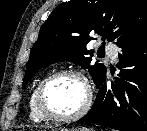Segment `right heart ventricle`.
<instances>
[{
  "mask_svg": "<svg viewBox=\"0 0 147 131\" xmlns=\"http://www.w3.org/2000/svg\"><path fill=\"white\" fill-rule=\"evenodd\" d=\"M44 78H42L41 80L37 82V84L34 86L29 97V117L33 122H36V123H42L47 121V119H45L39 112L37 104H36V92H37L38 86L40 85V83L42 82Z\"/></svg>",
  "mask_w": 147,
  "mask_h": 131,
  "instance_id": "right-heart-ventricle-1",
  "label": "right heart ventricle"
}]
</instances>
